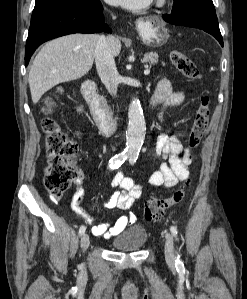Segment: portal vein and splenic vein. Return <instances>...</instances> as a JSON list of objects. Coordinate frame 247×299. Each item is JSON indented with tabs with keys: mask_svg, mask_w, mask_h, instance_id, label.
<instances>
[{
	"mask_svg": "<svg viewBox=\"0 0 247 299\" xmlns=\"http://www.w3.org/2000/svg\"><path fill=\"white\" fill-rule=\"evenodd\" d=\"M150 73V70L148 69V66H146V69L144 70V74L148 75Z\"/></svg>",
	"mask_w": 247,
	"mask_h": 299,
	"instance_id": "portal-vein-and-splenic-vein-1",
	"label": "portal vein and splenic vein"
}]
</instances>
